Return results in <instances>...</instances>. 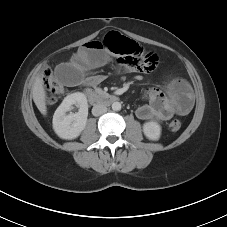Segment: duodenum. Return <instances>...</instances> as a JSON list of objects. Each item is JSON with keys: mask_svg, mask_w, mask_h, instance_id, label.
<instances>
[{"mask_svg": "<svg viewBox=\"0 0 227 227\" xmlns=\"http://www.w3.org/2000/svg\"><path fill=\"white\" fill-rule=\"evenodd\" d=\"M86 99L92 104H111L118 101V96L115 94L96 91L94 89H86L85 92Z\"/></svg>", "mask_w": 227, "mask_h": 227, "instance_id": "410a0bca", "label": "duodenum"}]
</instances>
